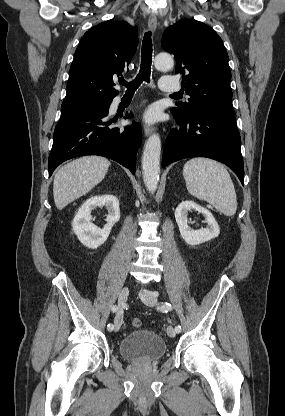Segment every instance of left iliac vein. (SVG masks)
Wrapping results in <instances>:
<instances>
[{
	"label": "left iliac vein",
	"instance_id": "4c4485c4",
	"mask_svg": "<svg viewBox=\"0 0 285 416\" xmlns=\"http://www.w3.org/2000/svg\"><path fill=\"white\" fill-rule=\"evenodd\" d=\"M139 296L141 300L148 306L154 307L157 303V295L156 293L150 291V290H144L139 293ZM176 331L172 326H169L167 328V334L170 338H174L176 336Z\"/></svg>",
	"mask_w": 285,
	"mask_h": 416
}]
</instances>
